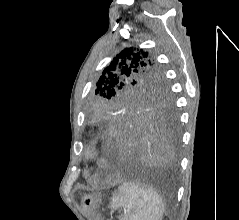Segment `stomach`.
<instances>
[{"label": "stomach", "instance_id": "stomach-1", "mask_svg": "<svg viewBox=\"0 0 239 220\" xmlns=\"http://www.w3.org/2000/svg\"><path fill=\"white\" fill-rule=\"evenodd\" d=\"M97 204H98V200L90 195H85L82 198V207L89 214H92L95 212Z\"/></svg>", "mask_w": 239, "mask_h": 220}]
</instances>
